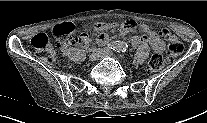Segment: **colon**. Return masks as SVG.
I'll use <instances>...</instances> for the list:
<instances>
[{
    "label": "colon",
    "instance_id": "obj_1",
    "mask_svg": "<svg viewBox=\"0 0 207 123\" xmlns=\"http://www.w3.org/2000/svg\"><path fill=\"white\" fill-rule=\"evenodd\" d=\"M75 27L70 22H63L55 26L54 35L61 42V44H69L76 41L73 37ZM161 35L168 40V51L166 56L154 54L149 62L148 69L152 72L159 71L163 68L164 64L173 61L176 57L181 55L184 51L182 42L172 35L169 29L163 28ZM31 47L35 53L44 60L53 63L55 62L54 53L50 46L49 37L46 33L35 34L30 41Z\"/></svg>",
    "mask_w": 207,
    "mask_h": 123
}]
</instances>
